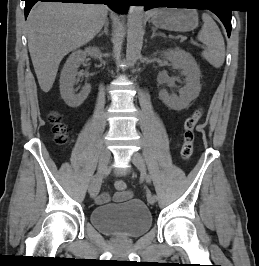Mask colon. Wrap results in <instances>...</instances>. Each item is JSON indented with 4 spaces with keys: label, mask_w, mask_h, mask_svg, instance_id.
Here are the masks:
<instances>
[{
    "label": "colon",
    "mask_w": 259,
    "mask_h": 266,
    "mask_svg": "<svg viewBox=\"0 0 259 266\" xmlns=\"http://www.w3.org/2000/svg\"><path fill=\"white\" fill-rule=\"evenodd\" d=\"M202 109L195 110L188 116L184 122L183 143L180 150V155L183 160H188L192 156L195 140L194 129L202 117ZM49 121L53 126L55 141L60 145H65L68 142V128L62 121L61 114L57 111L49 113ZM118 192L127 191V185L123 180H117L114 184Z\"/></svg>",
    "instance_id": "5ec220e1"
}]
</instances>
